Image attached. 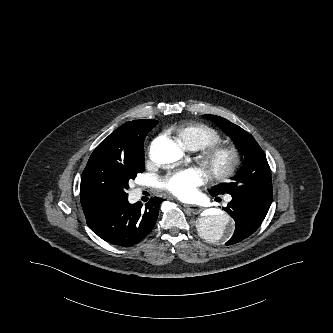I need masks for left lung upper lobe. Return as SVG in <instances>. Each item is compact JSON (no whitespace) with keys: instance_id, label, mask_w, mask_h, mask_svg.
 I'll return each instance as SVG.
<instances>
[{"instance_id":"1","label":"left lung upper lobe","mask_w":333,"mask_h":333,"mask_svg":"<svg viewBox=\"0 0 333 333\" xmlns=\"http://www.w3.org/2000/svg\"><path fill=\"white\" fill-rule=\"evenodd\" d=\"M215 122L241 148L244 166L232 182L214 186L212 196L230 194L232 197L251 198L272 202L271 170L266 156L251 134L232 122L216 115H204Z\"/></svg>"}]
</instances>
